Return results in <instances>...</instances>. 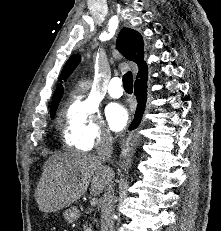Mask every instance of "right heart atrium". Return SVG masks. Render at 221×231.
<instances>
[{"label": "right heart atrium", "instance_id": "obj_1", "mask_svg": "<svg viewBox=\"0 0 221 231\" xmlns=\"http://www.w3.org/2000/svg\"><path fill=\"white\" fill-rule=\"evenodd\" d=\"M64 138L68 145L83 151L110 141L98 107L88 97L76 96L71 101L66 112Z\"/></svg>", "mask_w": 221, "mask_h": 231}]
</instances>
